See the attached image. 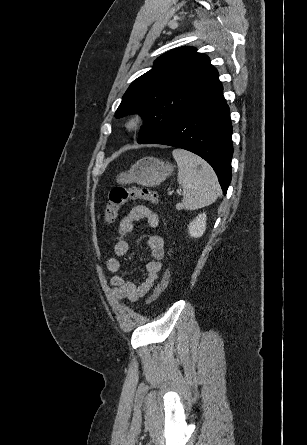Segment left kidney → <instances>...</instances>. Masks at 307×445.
Here are the masks:
<instances>
[{"mask_svg": "<svg viewBox=\"0 0 307 445\" xmlns=\"http://www.w3.org/2000/svg\"><path fill=\"white\" fill-rule=\"evenodd\" d=\"M205 231H206V214L205 212H202V214L196 216V218L192 220V223H190L189 235L190 237H195V239H198V237H202Z\"/></svg>", "mask_w": 307, "mask_h": 445, "instance_id": "1", "label": "left kidney"}]
</instances>
